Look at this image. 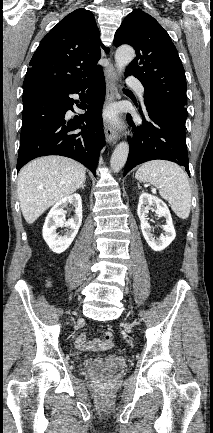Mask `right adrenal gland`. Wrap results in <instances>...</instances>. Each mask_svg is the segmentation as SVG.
<instances>
[{"label": "right adrenal gland", "mask_w": 213, "mask_h": 433, "mask_svg": "<svg viewBox=\"0 0 213 433\" xmlns=\"http://www.w3.org/2000/svg\"><path fill=\"white\" fill-rule=\"evenodd\" d=\"M84 187H85V182L81 185V189H84Z\"/></svg>", "instance_id": "right-adrenal-gland-1"}]
</instances>
